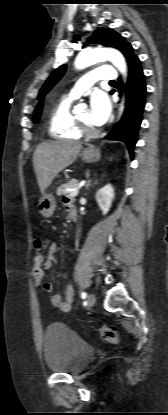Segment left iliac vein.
<instances>
[{
	"instance_id": "4c4485c4",
	"label": "left iliac vein",
	"mask_w": 168,
	"mask_h": 415,
	"mask_svg": "<svg viewBox=\"0 0 168 415\" xmlns=\"http://www.w3.org/2000/svg\"><path fill=\"white\" fill-rule=\"evenodd\" d=\"M87 302H88V304L90 305V306H93L94 304H95V302H96V297H95V295L94 294H89L88 295V297H87Z\"/></svg>"
}]
</instances>
